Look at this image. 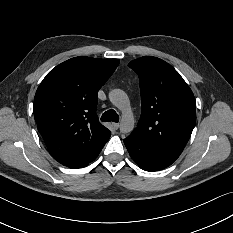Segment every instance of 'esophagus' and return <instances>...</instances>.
Returning a JSON list of instances; mask_svg holds the SVG:
<instances>
[{
	"label": "esophagus",
	"instance_id": "esophagus-1",
	"mask_svg": "<svg viewBox=\"0 0 233 233\" xmlns=\"http://www.w3.org/2000/svg\"><path fill=\"white\" fill-rule=\"evenodd\" d=\"M112 126L114 127L115 130H118L120 127L119 123H112Z\"/></svg>",
	"mask_w": 233,
	"mask_h": 233
}]
</instances>
